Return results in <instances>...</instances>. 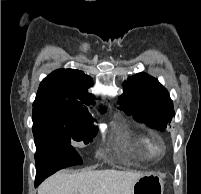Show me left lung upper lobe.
<instances>
[{
	"mask_svg": "<svg viewBox=\"0 0 201 194\" xmlns=\"http://www.w3.org/2000/svg\"><path fill=\"white\" fill-rule=\"evenodd\" d=\"M119 103V109L127 115L159 131H164L175 116L167 90L146 73H138L127 80Z\"/></svg>",
	"mask_w": 201,
	"mask_h": 194,
	"instance_id": "left-lung-upper-lobe-1",
	"label": "left lung upper lobe"
}]
</instances>
